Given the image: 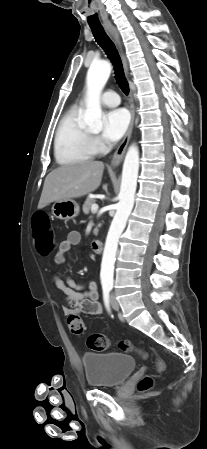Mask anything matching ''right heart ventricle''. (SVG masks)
Returning <instances> with one entry per match:
<instances>
[{
    "label": "right heart ventricle",
    "mask_w": 207,
    "mask_h": 449,
    "mask_svg": "<svg viewBox=\"0 0 207 449\" xmlns=\"http://www.w3.org/2000/svg\"><path fill=\"white\" fill-rule=\"evenodd\" d=\"M80 109L72 108L61 118L54 138V155L58 164L66 166L91 159L95 147L88 131L79 121Z\"/></svg>",
    "instance_id": "e07e8e85"
}]
</instances>
